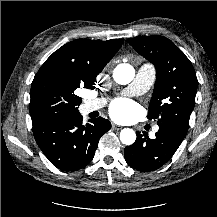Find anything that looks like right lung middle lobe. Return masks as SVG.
I'll list each match as a JSON object with an SVG mask.
<instances>
[{
    "instance_id": "obj_1",
    "label": "right lung middle lobe",
    "mask_w": 217,
    "mask_h": 217,
    "mask_svg": "<svg viewBox=\"0 0 217 217\" xmlns=\"http://www.w3.org/2000/svg\"><path fill=\"white\" fill-rule=\"evenodd\" d=\"M82 87L94 88L55 70L37 73L30 92L29 110L32 124L78 114L77 106L82 99L76 95V89Z\"/></svg>"
}]
</instances>
